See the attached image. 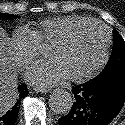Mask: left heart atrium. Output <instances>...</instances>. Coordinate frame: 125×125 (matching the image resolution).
<instances>
[{
  "label": "left heart atrium",
  "mask_w": 125,
  "mask_h": 125,
  "mask_svg": "<svg viewBox=\"0 0 125 125\" xmlns=\"http://www.w3.org/2000/svg\"><path fill=\"white\" fill-rule=\"evenodd\" d=\"M26 80L38 87L46 88L59 84L70 76L57 58L42 60L34 63L26 72Z\"/></svg>",
  "instance_id": "left-heart-atrium-1"
}]
</instances>
